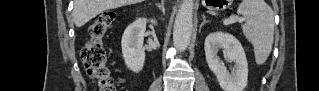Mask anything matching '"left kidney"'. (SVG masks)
<instances>
[{
    "label": "left kidney",
    "instance_id": "left-kidney-1",
    "mask_svg": "<svg viewBox=\"0 0 319 91\" xmlns=\"http://www.w3.org/2000/svg\"><path fill=\"white\" fill-rule=\"evenodd\" d=\"M222 49L230 62L235 63L231 73L218 56ZM206 61L211 71L216 75L223 91H243L247 86L248 63L244 49L239 40L229 33H210L204 43Z\"/></svg>",
    "mask_w": 319,
    "mask_h": 91
}]
</instances>
